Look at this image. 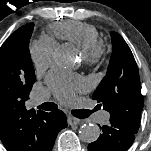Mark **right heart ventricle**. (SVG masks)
Masks as SVG:
<instances>
[{"label":"right heart ventricle","instance_id":"right-heart-ventricle-1","mask_svg":"<svg viewBox=\"0 0 151 151\" xmlns=\"http://www.w3.org/2000/svg\"><path fill=\"white\" fill-rule=\"evenodd\" d=\"M49 32L54 38L73 43L82 49L99 41L94 26L74 20L53 23L49 26Z\"/></svg>","mask_w":151,"mask_h":151}]
</instances>
